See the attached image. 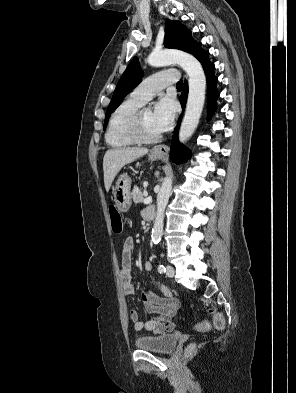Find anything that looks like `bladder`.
<instances>
[{"mask_svg": "<svg viewBox=\"0 0 296 393\" xmlns=\"http://www.w3.org/2000/svg\"><path fill=\"white\" fill-rule=\"evenodd\" d=\"M178 344V336L175 334H163L155 336H145L138 338L135 345L140 350L159 354H170Z\"/></svg>", "mask_w": 296, "mask_h": 393, "instance_id": "1", "label": "bladder"}]
</instances>
